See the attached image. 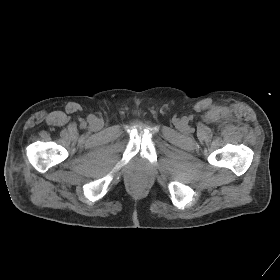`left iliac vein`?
Segmentation results:
<instances>
[{
    "label": "left iliac vein",
    "mask_w": 280,
    "mask_h": 280,
    "mask_svg": "<svg viewBox=\"0 0 280 280\" xmlns=\"http://www.w3.org/2000/svg\"><path fill=\"white\" fill-rule=\"evenodd\" d=\"M177 126H178V128H179L180 130H185V128H186L185 123L182 122V121L178 122V123H177Z\"/></svg>",
    "instance_id": "obj_1"
}]
</instances>
